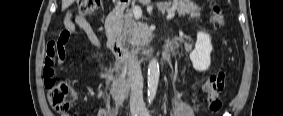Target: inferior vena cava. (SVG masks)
Masks as SVG:
<instances>
[{"instance_id": "1", "label": "inferior vena cava", "mask_w": 283, "mask_h": 116, "mask_svg": "<svg viewBox=\"0 0 283 116\" xmlns=\"http://www.w3.org/2000/svg\"><path fill=\"white\" fill-rule=\"evenodd\" d=\"M129 78L131 82V103H143V77L140 62L137 59L133 61L130 67Z\"/></svg>"}]
</instances>
